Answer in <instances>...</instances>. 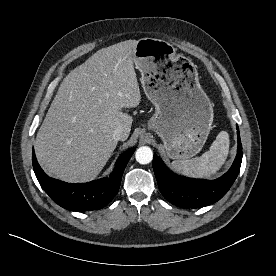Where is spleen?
<instances>
[{
    "label": "spleen",
    "instance_id": "spleen-1",
    "mask_svg": "<svg viewBox=\"0 0 276 276\" xmlns=\"http://www.w3.org/2000/svg\"><path fill=\"white\" fill-rule=\"evenodd\" d=\"M229 153V135L221 131L210 149L200 157L190 160H176L172 166L180 173L195 177H210L215 174L224 164Z\"/></svg>",
    "mask_w": 276,
    "mask_h": 276
}]
</instances>
